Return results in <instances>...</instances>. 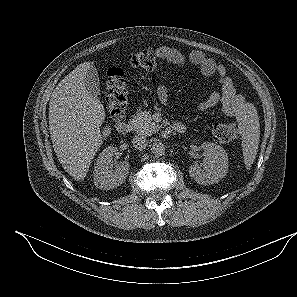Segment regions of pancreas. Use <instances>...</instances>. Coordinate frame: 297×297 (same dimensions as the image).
I'll return each instance as SVG.
<instances>
[{"instance_id": "obj_1", "label": "pancreas", "mask_w": 297, "mask_h": 297, "mask_svg": "<svg viewBox=\"0 0 297 297\" xmlns=\"http://www.w3.org/2000/svg\"><path fill=\"white\" fill-rule=\"evenodd\" d=\"M131 123L138 134L151 135L160 129V125L153 122L149 111L138 112L132 117Z\"/></svg>"}]
</instances>
